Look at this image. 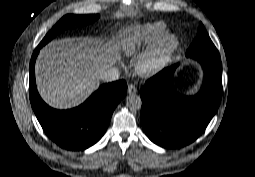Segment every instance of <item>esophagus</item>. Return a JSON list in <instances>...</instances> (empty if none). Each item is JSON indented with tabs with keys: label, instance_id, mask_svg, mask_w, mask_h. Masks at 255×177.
I'll use <instances>...</instances> for the list:
<instances>
[{
	"label": "esophagus",
	"instance_id": "obj_1",
	"mask_svg": "<svg viewBox=\"0 0 255 177\" xmlns=\"http://www.w3.org/2000/svg\"><path fill=\"white\" fill-rule=\"evenodd\" d=\"M136 93H137V88L134 85L130 84L128 86V94L135 95Z\"/></svg>",
	"mask_w": 255,
	"mask_h": 177
}]
</instances>
